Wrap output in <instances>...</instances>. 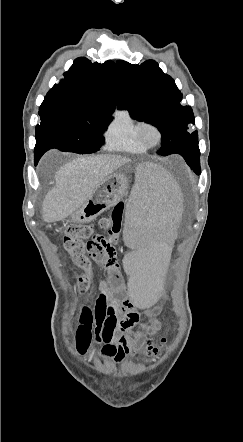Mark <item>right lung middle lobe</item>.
I'll return each mask as SVG.
<instances>
[{"label": "right lung middle lobe", "instance_id": "dd1d6c3e", "mask_svg": "<svg viewBox=\"0 0 243 442\" xmlns=\"http://www.w3.org/2000/svg\"><path fill=\"white\" fill-rule=\"evenodd\" d=\"M39 115L35 153L42 155L51 148L80 154L97 152L104 143L102 132L111 122L110 113L77 112L52 101H43Z\"/></svg>", "mask_w": 243, "mask_h": 442}]
</instances>
